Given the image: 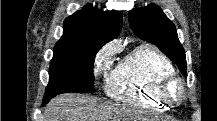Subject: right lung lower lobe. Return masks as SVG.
<instances>
[{
    "instance_id": "98d812e1",
    "label": "right lung lower lobe",
    "mask_w": 217,
    "mask_h": 121,
    "mask_svg": "<svg viewBox=\"0 0 217 121\" xmlns=\"http://www.w3.org/2000/svg\"><path fill=\"white\" fill-rule=\"evenodd\" d=\"M49 100H43L42 105H45L46 103H48Z\"/></svg>"
}]
</instances>
